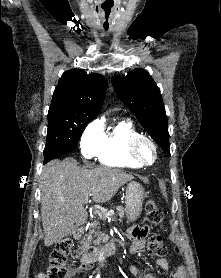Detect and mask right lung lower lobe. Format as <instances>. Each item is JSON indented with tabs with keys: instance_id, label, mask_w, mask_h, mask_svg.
<instances>
[{
	"instance_id": "obj_1",
	"label": "right lung lower lobe",
	"mask_w": 221,
	"mask_h": 278,
	"mask_svg": "<svg viewBox=\"0 0 221 278\" xmlns=\"http://www.w3.org/2000/svg\"><path fill=\"white\" fill-rule=\"evenodd\" d=\"M48 161L47 160H44V163H47Z\"/></svg>"
}]
</instances>
